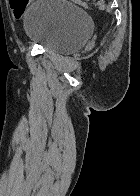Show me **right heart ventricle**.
Returning <instances> with one entry per match:
<instances>
[{
	"instance_id": "1",
	"label": "right heart ventricle",
	"mask_w": 140,
	"mask_h": 196,
	"mask_svg": "<svg viewBox=\"0 0 140 196\" xmlns=\"http://www.w3.org/2000/svg\"><path fill=\"white\" fill-rule=\"evenodd\" d=\"M0 192H31V191H0Z\"/></svg>"
}]
</instances>
